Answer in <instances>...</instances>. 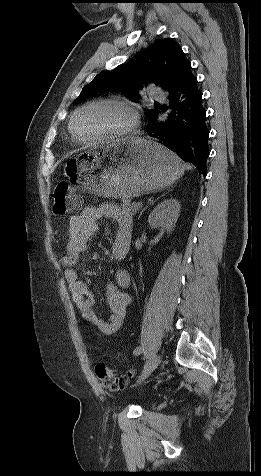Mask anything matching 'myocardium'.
Returning a JSON list of instances; mask_svg holds the SVG:
<instances>
[{
  "label": "myocardium",
  "mask_w": 261,
  "mask_h": 476,
  "mask_svg": "<svg viewBox=\"0 0 261 476\" xmlns=\"http://www.w3.org/2000/svg\"><path fill=\"white\" fill-rule=\"evenodd\" d=\"M99 104H110V105H115L125 109L128 112L130 117L129 122L123 128L117 131L102 135L95 139H92V140L80 139L79 137H77L75 132V121L78 115L85 109L95 105H99ZM138 123H139V113L137 109L134 107V105H132L131 103L121 99H117V98H98V99H94V100L86 102L85 104L81 105L73 112L69 122L68 129L72 137V140L74 142L81 145H93L96 143L103 142L105 140L124 137L128 135L129 133H131L137 127Z\"/></svg>",
  "instance_id": "obj_1"
}]
</instances>
